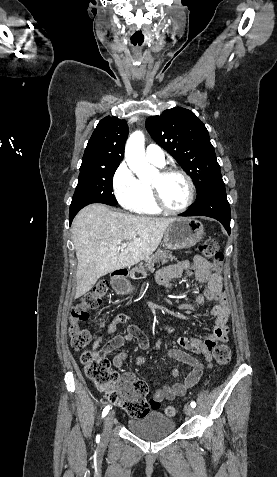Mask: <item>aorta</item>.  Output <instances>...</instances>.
Returning a JSON list of instances; mask_svg holds the SVG:
<instances>
[{
	"instance_id": "obj_1",
	"label": "aorta",
	"mask_w": 277,
	"mask_h": 477,
	"mask_svg": "<svg viewBox=\"0 0 277 477\" xmlns=\"http://www.w3.org/2000/svg\"><path fill=\"white\" fill-rule=\"evenodd\" d=\"M144 143V134L141 131H135L130 135L125 146L126 162L141 180L150 179L157 171L145 158Z\"/></svg>"
}]
</instances>
